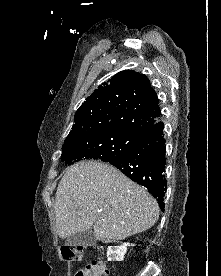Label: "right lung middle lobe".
<instances>
[{
	"instance_id": "right-lung-middle-lobe-1",
	"label": "right lung middle lobe",
	"mask_w": 221,
	"mask_h": 276,
	"mask_svg": "<svg viewBox=\"0 0 221 276\" xmlns=\"http://www.w3.org/2000/svg\"><path fill=\"white\" fill-rule=\"evenodd\" d=\"M141 138L123 132L94 135L88 138L66 141L61 160L67 165L86 159L109 162L133 150Z\"/></svg>"
}]
</instances>
